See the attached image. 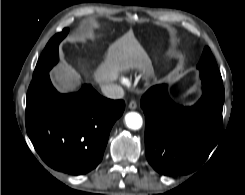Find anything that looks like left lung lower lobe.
Wrapping results in <instances>:
<instances>
[{
  "label": "left lung lower lobe",
  "mask_w": 245,
  "mask_h": 195,
  "mask_svg": "<svg viewBox=\"0 0 245 195\" xmlns=\"http://www.w3.org/2000/svg\"><path fill=\"white\" fill-rule=\"evenodd\" d=\"M202 84L203 95L192 107L175 104L165 84L150 88L141 99L146 122V157L160 174L193 172L219 140L224 87L211 81Z\"/></svg>",
  "instance_id": "1"
}]
</instances>
